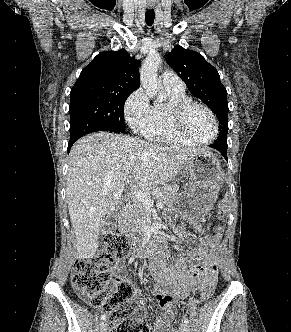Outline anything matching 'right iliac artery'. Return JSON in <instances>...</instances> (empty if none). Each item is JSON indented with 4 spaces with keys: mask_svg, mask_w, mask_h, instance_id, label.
Segmentation results:
<instances>
[{
    "mask_svg": "<svg viewBox=\"0 0 291 332\" xmlns=\"http://www.w3.org/2000/svg\"><path fill=\"white\" fill-rule=\"evenodd\" d=\"M105 319H106V315L105 314L101 315L100 320H105Z\"/></svg>",
    "mask_w": 291,
    "mask_h": 332,
    "instance_id": "right-iliac-artery-1",
    "label": "right iliac artery"
}]
</instances>
